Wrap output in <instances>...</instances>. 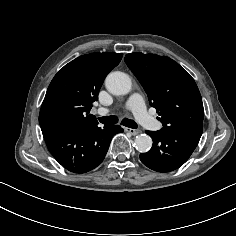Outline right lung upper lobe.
Segmentation results:
<instances>
[{
  "label": "right lung upper lobe",
  "instance_id": "right-lung-upper-lobe-1",
  "mask_svg": "<svg viewBox=\"0 0 236 236\" xmlns=\"http://www.w3.org/2000/svg\"><path fill=\"white\" fill-rule=\"evenodd\" d=\"M121 53H91L65 65L51 81L39 114L41 129L98 124L89 114L107 74L119 64Z\"/></svg>",
  "mask_w": 236,
  "mask_h": 236
}]
</instances>
